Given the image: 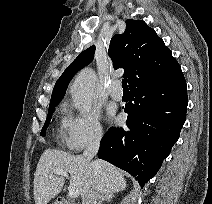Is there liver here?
Wrapping results in <instances>:
<instances>
[{
  "instance_id": "6515ba94",
  "label": "liver",
  "mask_w": 212,
  "mask_h": 204,
  "mask_svg": "<svg viewBox=\"0 0 212 204\" xmlns=\"http://www.w3.org/2000/svg\"><path fill=\"white\" fill-rule=\"evenodd\" d=\"M54 169L70 173V187L78 189L82 197L91 187L101 194H114L126 188L122 172L104 160L96 159L89 163L81 155L46 149L34 173L35 204H48L62 190L65 179L62 175H51Z\"/></svg>"
}]
</instances>
